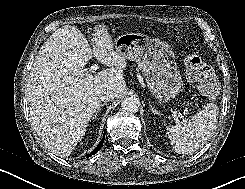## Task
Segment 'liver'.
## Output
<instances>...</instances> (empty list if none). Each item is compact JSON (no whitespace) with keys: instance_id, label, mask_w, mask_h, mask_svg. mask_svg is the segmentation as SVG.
<instances>
[{"instance_id":"1","label":"liver","mask_w":245,"mask_h":189,"mask_svg":"<svg viewBox=\"0 0 245 189\" xmlns=\"http://www.w3.org/2000/svg\"><path fill=\"white\" fill-rule=\"evenodd\" d=\"M93 30L92 50L77 27L58 29L40 48L28 78L31 124L46 147L60 157L70 155L85 134L100 105V93L109 89L120 98L126 89L125 58L114 50L104 25ZM93 56L109 68L90 73L86 64Z\"/></svg>"}]
</instances>
